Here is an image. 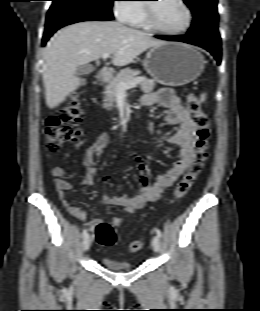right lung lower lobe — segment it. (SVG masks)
Returning <instances> with one entry per match:
<instances>
[{
  "label": "right lung lower lobe",
  "instance_id": "right-lung-lower-lobe-1",
  "mask_svg": "<svg viewBox=\"0 0 260 311\" xmlns=\"http://www.w3.org/2000/svg\"><path fill=\"white\" fill-rule=\"evenodd\" d=\"M112 19L113 17L75 8L69 5H59L56 8L51 7L46 19L42 45L44 46L53 33L63 26L82 21H108Z\"/></svg>",
  "mask_w": 260,
  "mask_h": 311
}]
</instances>
